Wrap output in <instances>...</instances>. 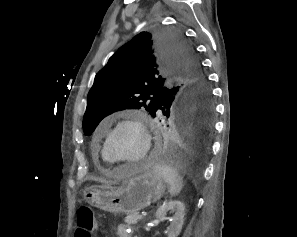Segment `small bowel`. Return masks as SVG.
<instances>
[{
  "mask_svg": "<svg viewBox=\"0 0 297 237\" xmlns=\"http://www.w3.org/2000/svg\"><path fill=\"white\" fill-rule=\"evenodd\" d=\"M117 234H118V237H130V229L127 225L120 224L117 227Z\"/></svg>",
  "mask_w": 297,
  "mask_h": 237,
  "instance_id": "obj_1",
  "label": "small bowel"
}]
</instances>
